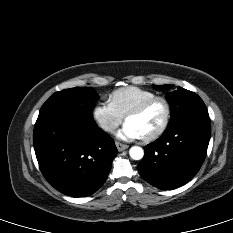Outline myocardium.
Masks as SVG:
<instances>
[{
	"instance_id": "obj_1",
	"label": "myocardium",
	"mask_w": 233,
	"mask_h": 233,
	"mask_svg": "<svg viewBox=\"0 0 233 233\" xmlns=\"http://www.w3.org/2000/svg\"><path fill=\"white\" fill-rule=\"evenodd\" d=\"M158 101H160L164 104L165 117H164L162 125L155 132H153L152 134H150L148 136L142 137V139L146 142H150V141L158 139L167 130L169 123H170V119H171V105H170L169 101L163 96L156 95V96L151 97V98L143 101L142 103H140L138 106H136L135 108L130 110L124 117L125 122H126L130 117H134V116H138V115L142 114L152 104H154L155 102H158Z\"/></svg>"
}]
</instances>
